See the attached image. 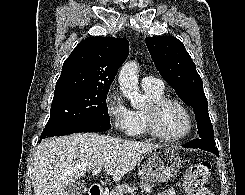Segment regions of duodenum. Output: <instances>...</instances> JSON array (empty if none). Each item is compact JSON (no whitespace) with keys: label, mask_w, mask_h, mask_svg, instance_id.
<instances>
[{"label":"duodenum","mask_w":245,"mask_h":195,"mask_svg":"<svg viewBox=\"0 0 245 195\" xmlns=\"http://www.w3.org/2000/svg\"><path fill=\"white\" fill-rule=\"evenodd\" d=\"M89 195H103V190L98 185H93L89 191Z\"/></svg>","instance_id":"duodenum-1"}]
</instances>
